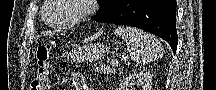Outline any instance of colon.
I'll return each instance as SVG.
<instances>
[{
    "label": "colon",
    "mask_w": 216,
    "mask_h": 90,
    "mask_svg": "<svg viewBox=\"0 0 216 90\" xmlns=\"http://www.w3.org/2000/svg\"><path fill=\"white\" fill-rule=\"evenodd\" d=\"M53 44L39 46L36 51L37 70L31 82V90H47L50 76V53Z\"/></svg>",
    "instance_id": "colon-1"
}]
</instances>
